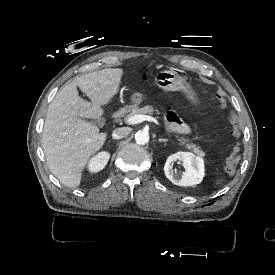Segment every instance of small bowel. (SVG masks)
Here are the masks:
<instances>
[{
    "mask_svg": "<svg viewBox=\"0 0 275 275\" xmlns=\"http://www.w3.org/2000/svg\"><path fill=\"white\" fill-rule=\"evenodd\" d=\"M145 76L150 74L147 68L142 70ZM167 129L170 133H180L187 134L189 132L188 125L183 121V119L176 112H169L166 116Z\"/></svg>",
    "mask_w": 275,
    "mask_h": 275,
    "instance_id": "1",
    "label": "small bowel"
}]
</instances>
